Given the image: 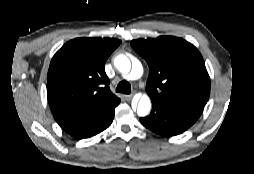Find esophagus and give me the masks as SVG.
I'll return each mask as SVG.
<instances>
[{"mask_svg":"<svg viewBox=\"0 0 254 174\" xmlns=\"http://www.w3.org/2000/svg\"><path fill=\"white\" fill-rule=\"evenodd\" d=\"M125 100L130 101L132 99V95H124Z\"/></svg>","mask_w":254,"mask_h":174,"instance_id":"34e87169","label":"esophagus"}]
</instances>
